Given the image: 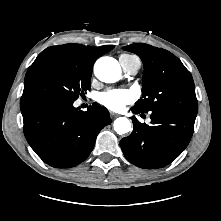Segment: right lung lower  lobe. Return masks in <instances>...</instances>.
<instances>
[{
  "label": "right lung lower lobe",
  "mask_w": 221,
  "mask_h": 221,
  "mask_svg": "<svg viewBox=\"0 0 221 221\" xmlns=\"http://www.w3.org/2000/svg\"><path fill=\"white\" fill-rule=\"evenodd\" d=\"M25 137L48 165L70 168L91 153L98 133L111 123L109 112L94 103L86 112L73 102L32 99L21 106Z\"/></svg>",
  "instance_id": "1"
}]
</instances>
